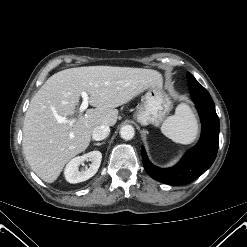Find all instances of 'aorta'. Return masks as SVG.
Listing matches in <instances>:
<instances>
[{
    "label": "aorta",
    "mask_w": 247,
    "mask_h": 247,
    "mask_svg": "<svg viewBox=\"0 0 247 247\" xmlns=\"http://www.w3.org/2000/svg\"><path fill=\"white\" fill-rule=\"evenodd\" d=\"M134 135H135V130H134L133 126L125 125V126L121 127L120 136L124 140H130L134 137Z\"/></svg>",
    "instance_id": "762f6f07"
}]
</instances>
